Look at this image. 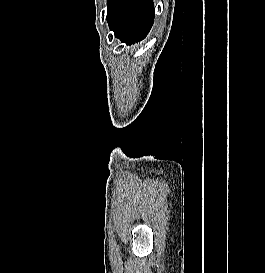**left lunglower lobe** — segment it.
<instances>
[{
    "mask_svg": "<svg viewBox=\"0 0 265 273\" xmlns=\"http://www.w3.org/2000/svg\"><path fill=\"white\" fill-rule=\"evenodd\" d=\"M107 21L115 37L131 45L146 37L154 21L153 0H108Z\"/></svg>",
    "mask_w": 265,
    "mask_h": 273,
    "instance_id": "0a47b994",
    "label": "left lung lower lobe"
}]
</instances>
